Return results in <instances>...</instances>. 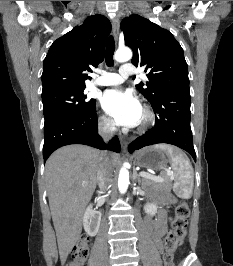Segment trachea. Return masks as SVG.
<instances>
[{
    "label": "trachea",
    "mask_w": 233,
    "mask_h": 266,
    "mask_svg": "<svg viewBox=\"0 0 233 266\" xmlns=\"http://www.w3.org/2000/svg\"><path fill=\"white\" fill-rule=\"evenodd\" d=\"M115 51V42L112 36L108 38L107 46H106V53H105V62L107 66H113V55Z\"/></svg>",
    "instance_id": "trachea-1"
}]
</instances>
